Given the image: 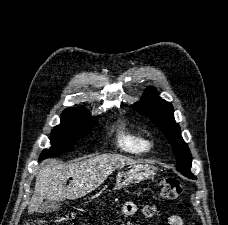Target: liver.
<instances>
[{
    "label": "liver",
    "mask_w": 228,
    "mask_h": 225,
    "mask_svg": "<svg viewBox=\"0 0 228 225\" xmlns=\"http://www.w3.org/2000/svg\"><path fill=\"white\" fill-rule=\"evenodd\" d=\"M133 163L137 161L122 155H98L80 163H65V165L55 159H48L42 163L38 171L28 213L38 211L44 199L47 201L81 199L100 187L115 169H123ZM70 177L72 181L67 185Z\"/></svg>",
    "instance_id": "liver-1"
}]
</instances>
